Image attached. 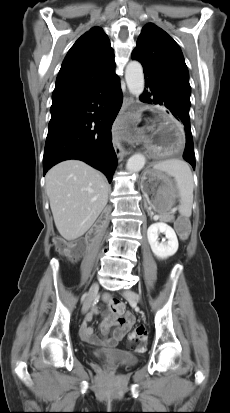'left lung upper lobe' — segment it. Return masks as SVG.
Wrapping results in <instances>:
<instances>
[{"mask_svg":"<svg viewBox=\"0 0 230 413\" xmlns=\"http://www.w3.org/2000/svg\"><path fill=\"white\" fill-rule=\"evenodd\" d=\"M132 58L160 76L169 89L190 103L189 73L182 51L164 30L153 23L146 24Z\"/></svg>","mask_w":230,"mask_h":413,"instance_id":"5c2ea615","label":"left lung upper lobe"}]
</instances>
